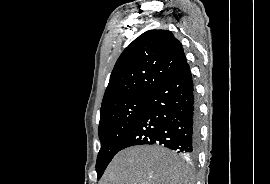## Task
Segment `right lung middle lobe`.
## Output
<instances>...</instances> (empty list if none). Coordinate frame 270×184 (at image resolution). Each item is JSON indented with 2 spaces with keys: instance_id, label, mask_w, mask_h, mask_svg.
<instances>
[{
  "instance_id": "1",
  "label": "right lung middle lobe",
  "mask_w": 270,
  "mask_h": 184,
  "mask_svg": "<svg viewBox=\"0 0 270 184\" xmlns=\"http://www.w3.org/2000/svg\"><path fill=\"white\" fill-rule=\"evenodd\" d=\"M147 96L136 95L101 107L99 138L101 149L96 161V172L100 178L136 119L140 115Z\"/></svg>"
}]
</instances>
